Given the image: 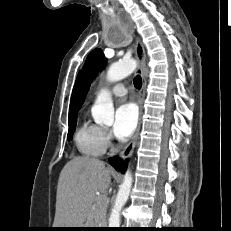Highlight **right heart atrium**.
<instances>
[{
	"label": "right heart atrium",
	"instance_id": "1",
	"mask_svg": "<svg viewBox=\"0 0 231 231\" xmlns=\"http://www.w3.org/2000/svg\"><path fill=\"white\" fill-rule=\"evenodd\" d=\"M103 139L107 147L111 145L112 137H111V134L107 130H103Z\"/></svg>",
	"mask_w": 231,
	"mask_h": 231
}]
</instances>
